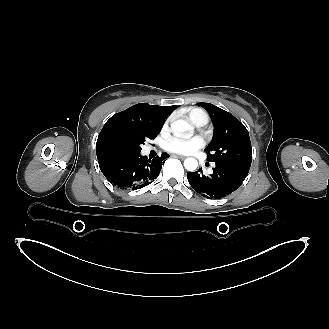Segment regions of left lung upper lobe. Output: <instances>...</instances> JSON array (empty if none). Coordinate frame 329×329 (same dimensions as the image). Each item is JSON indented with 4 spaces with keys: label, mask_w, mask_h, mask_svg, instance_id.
<instances>
[{
    "label": "left lung upper lobe",
    "mask_w": 329,
    "mask_h": 329,
    "mask_svg": "<svg viewBox=\"0 0 329 329\" xmlns=\"http://www.w3.org/2000/svg\"><path fill=\"white\" fill-rule=\"evenodd\" d=\"M210 114L214 123L212 141L205 148L207 160L248 174L252 147L245 126L229 112L210 103H198Z\"/></svg>",
    "instance_id": "1"
}]
</instances>
